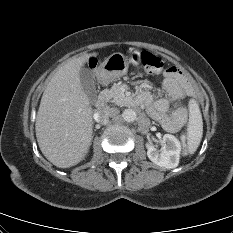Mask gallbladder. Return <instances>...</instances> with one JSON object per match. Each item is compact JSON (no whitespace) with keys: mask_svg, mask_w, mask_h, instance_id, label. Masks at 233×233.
<instances>
[{"mask_svg":"<svg viewBox=\"0 0 233 233\" xmlns=\"http://www.w3.org/2000/svg\"><path fill=\"white\" fill-rule=\"evenodd\" d=\"M82 89L88 96L90 102L94 103L97 99L96 82L91 70L82 67L79 73Z\"/></svg>","mask_w":233,"mask_h":233,"instance_id":"gallbladder-1","label":"gallbladder"}]
</instances>
